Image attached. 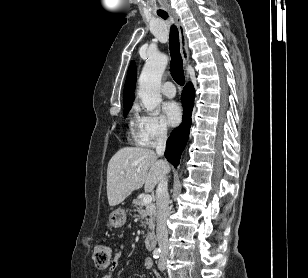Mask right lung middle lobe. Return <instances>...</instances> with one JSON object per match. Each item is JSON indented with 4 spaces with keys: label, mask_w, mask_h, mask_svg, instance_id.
Masks as SVG:
<instances>
[{
    "label": "right lung middle lobe",
    "mask_w": 308,
    "mask_h": 278,
    "mask_svg": "<svg viewBox=\"0 0 308 278\" xmlns=\"http://www.w3.org/2000/svg\"><path fill=\"white\" fill-rule=\"evenodd\" d=\"M132 103H126L124 104V116H126V114L129 112V110L131 109Z\"/></svg>",
    "instance_id": "dd1d6c3e"
}]
</instances>
